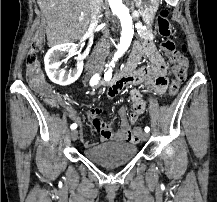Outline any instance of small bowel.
<instances>
[{"label": "small bowel", "mask_w": 217, "mask_h": 202, "mask_svg": "<svg viewBox=\"0 0 217 202\" xmlns=\"http://www.w3.org/2000/svg\"><path fill=\"white\" fill-rule=\"evenodd\" d=\"M144 52L153 59V67L136 69L132 78L128 80L118 78L108 87L106 91V96L108 98L116 97L128 85H136L141 82L150 84L156 94H162L164 92L165 80L163 78V73L166 69V65L158 55L156 47L150 40H146L142 44H136L131 56H134L139 60ZM129 98L131 101L132 111L128 115L125 106L119 108L121 123L118 130H112L109 125L100 118L102 107L85 108V115L89 119L91 125L98 132L101 142L136 144L139 141L142 131H133L131 129V124H134L138 117L145 112V106H152V101H143L140 92L137 90H132L129 94ZM65 114L71 119L80 120V117L69 105H66ZM80 138L86 148L93 147L95 144V142L90 143L88 140H85L82 132H80Z\"/></svg>", "instance_id": "c3829d8e"}]
</instances>
